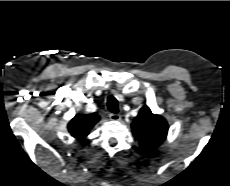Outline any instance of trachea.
Wrapping results in <instances>:
<instances>
[{"mask_svg":"<svg viewBox=\"0 0 230 186\" xmlns=\"http://www.w3.org/2000/svg\"><path fill=\"white\" fill-rule=\"evenodd\" d=\"M107 108L112 113H118V111H119L118 102H117L116 98L112 95H110L107 98Z\"/></svg>","mask_w":230,"mask_h":186,"instance_id":"obj_1","label":"trachea"}]
</instances>
